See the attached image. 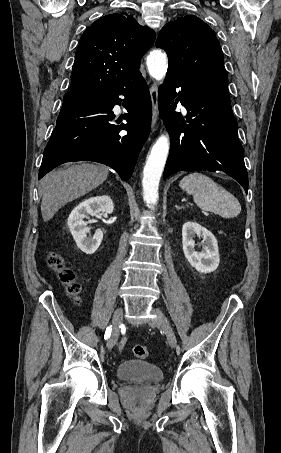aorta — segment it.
Segmentation results:
<instances>
[{"instance_id":"762f6f07","label":"aorta","mask_w":281,"mask_h":453,"mask_svg":"<svg viewBox=\"0 0 281 453\" xmlns=\"http://www.w3.org/2000/svg\"><path fill=\"white\" fill-rule=\"evenodd\" d=\"M150 76L161 81L166 75L168 60L161 50H153L147 57ZM170 140L167 134L158 137L151 148L143 170V194L149 208H154L159 198V182L169 153Z\"/></svg>"}]
</instances>
